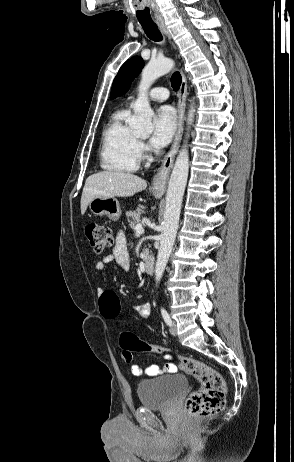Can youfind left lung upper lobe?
<instances>
[{
	"instance_id": "obj_1",
	"label": "left lung upper lobe",
	"mask_w": 294,
	"mask_h": 462,
	"mask_svg": "<svg viewBox=\"0 0 294 462\" xmlns=\"http://www.w3.org/2000/svg\"><path fill=\"white\" fill-rule=\"evenodd\" d=\"M143 67L144 61L138 56L132 57L126 61L113 81L110 98L114 99L119 95L125 94L129 90L132 81L141 72Z\"/></svg>"
}]
</instances>
